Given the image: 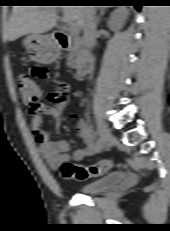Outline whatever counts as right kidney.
<instances>
[{"instance_id":"right-kidney-1","label":"right kidney","mask_w":170,"mask_h":231,"mask_svg":"<svg viewBox=\"0 0 170 231\" xmlns=\"http://www.w3.org/2000/svg\"><path fill=\"white\" fill-rule=\"evenodd\" d=\"M127 15L128 11L125 8H120L113 12L107 22L109 29L112 31L121 29Z\"/></svg>"}]
</instances>
